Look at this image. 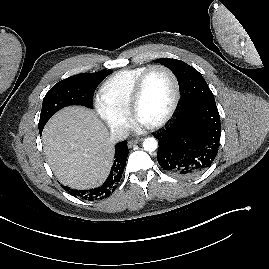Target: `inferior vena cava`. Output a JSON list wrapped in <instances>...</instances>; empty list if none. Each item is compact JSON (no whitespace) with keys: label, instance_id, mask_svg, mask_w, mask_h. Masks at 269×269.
I'll return each instance as SVG.
<instances>
[{"label":"inferior vena cava","instance_id":"602c4592","mask_svg":"<svg viewBox=\"0 0 269 269\" xmlns=\"http://www.w3.org/2000/svg\"><path fill=\"white\" fill-rule=\"evenodd\" d=\"M129 130L127 128L119 127L111 131L110 142L116 143L127 139Z\"/></svg>","mask_w":269,"mask_h":269}]
</instances>
